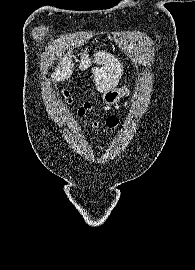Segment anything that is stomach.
I'll return each instance as SVG.
<instances>
[{
    "mask_svg": "<svg viewBox=\"0 0 195 270\" xmlns=\"http://www.w3.org/2000/svg\"><path fill=\"white\" fill-rule=\"evenodd\" d=\"M122 96V92L119 89H110L103 93V101L108 105L116 104L120 97Z\"/></svg>",
    "mask_w": 195,
    "mask_h": 270,
    "instance_id": "stomach-1",
    "label": "stomach"
}]
</instances>
